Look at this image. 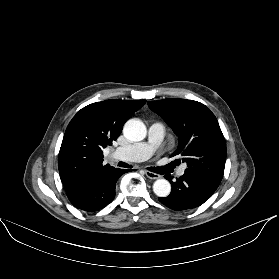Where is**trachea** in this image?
<instances>
[{
    "mask_svg": "<svg viewBox=\"0 0 279 279\" xmlns=\"http://www.w3.org/2000/svg\"><path fill=\"white\" fill-rule=\"evenodd\" d=\"M118 166H120V167H125V168L130 167L127 163H124V162H119V163H118Z\"/></svg>",
    "mask_w": 279,
    "mask_h": 279,
    "instance_id": "3493384b",
    "label": "trachea"
}]
</instances>
